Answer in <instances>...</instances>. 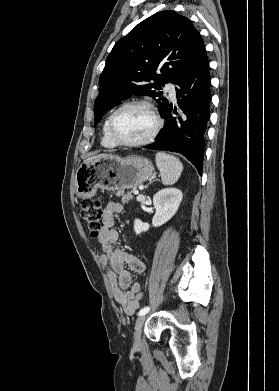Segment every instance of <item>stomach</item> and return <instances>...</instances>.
<instances>
[{
  "mask_svg": "<svg viewBox=\"0 0 279 391\" xmlns=\"http://www.w3.org/2000/svg\"><path fill=\"white\" fill-rule=\"evenodd\" d=\"M153 174V164L144 157L96 159L80 165L75 176V190L78 197L90 199L98 189L120 191L136 188Z\"/></svg>",
  "mask_w": 279,
  "mask_h": 391,
  "instance_id": "stomach-1",
  "label": "stomach"
}]
</instances>
